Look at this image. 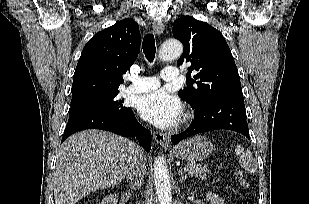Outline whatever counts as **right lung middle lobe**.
Returning <instances> with one entry per match:
<instances>
[{
    "mask_svg": "<svg viewBox=\"0 0 309 204\" xmlns=\"http://www.w3.org/2000/svg\"><path fill=\"white\" fill-rule=\"evenodd\" d=\"M118 93L119 91L71 104L69 116L89 112H102L123 117L130 111V108L124 107L122 105L123 100L116 98Z\"/></svg>",
    "mask_w": 309,
    "mask_h": 204,
    "instance_id": "obj_1",
    "label": "right lung middle lobe"
}]
</instances>
